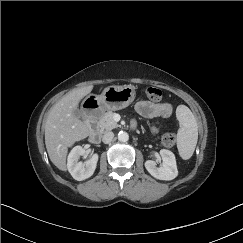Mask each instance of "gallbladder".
<instances>
[{"mask_svg": "<svg viewBox=\"0 0 243 243\" xmlns=\"http://www.w3.org/2000/svg\"><path fill=\"white\" fill-rule=\"evenodd\" d=\"M74 115L77 116V117H81V112L78 109H75Z\"/></svg>", "mask_w": 243, "mask_h": 243, "instance_id": "1", "label": "gallbladder"}]
</instances>
